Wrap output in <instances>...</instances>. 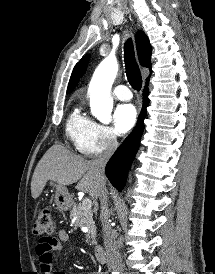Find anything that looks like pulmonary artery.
<instances>
[{"label": "pulmonary artery", "mask_w": 215, "mask_h": 274, "mask_svg": "<svg viewBox=\"0 0 215 274\" xmlns=\"http://www.w3.org/2000/svg\"><path fill=\"white\" fill-rule=\"evenodd\" d=\"M113 94L116 98L122 101H129L132 98L131 91L125 85H118L113 89Z\"/></svg>", "instance_id": "e3ab8cb5"}]
</instances>
